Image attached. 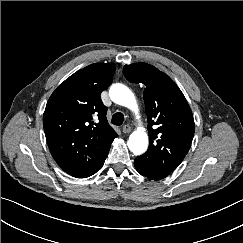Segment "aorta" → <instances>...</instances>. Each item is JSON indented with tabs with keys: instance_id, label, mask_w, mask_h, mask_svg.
I'll list each match as a JSON object with an SVG mask.
<instances>
[{
	"instance_id": "762f6f07",
	"label": "aorta",
	"mask_w": 243,
	"mask_h": 243,
	"mask_svg": "<svg viewBox=\"0 0 243 243\" xmlns=\"http://www.w3.org/2000/svg\"><path fill=\"white\" fill-rule=\"evenodd\" d=\"M109 96L114 103L130 108L135 113L138 112L135 96L127 86L120 83L113 84ZM128 147L135 155H140L147 150L148 135L144 128L140 127L130 135Z\"/></svg>"
}]
</instances>
